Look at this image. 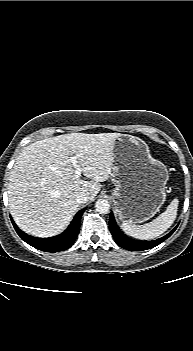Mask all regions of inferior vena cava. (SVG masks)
Masks as SVG:
<instances>
[{
  "mask_svg": "<svg viewBox=\"0 0 193 351\" xmlns=\"http://www.w3.org/2000/svg\"><path fill=\"white\" fill-rule=\"evenodd\" d=\"M88 199L89 197L86 192H80L76 197V201L78 204H84L88 201Z\"/></svg>",
  "mask_w": 193,
  "mask_h": 351,
  "instance_id": "602c4592",
  "label": "inferior vena cava"
}]
</instances>
